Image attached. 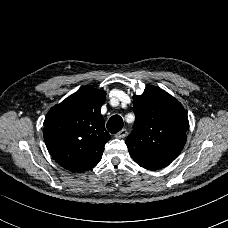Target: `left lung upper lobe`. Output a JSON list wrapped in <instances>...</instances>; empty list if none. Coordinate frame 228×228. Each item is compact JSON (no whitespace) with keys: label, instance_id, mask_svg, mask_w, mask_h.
I'll return each instance as SVG.
<instances>
[{"label":"left lung upper lobe","instance_id":"1","mask_svg":"<svg viewBox=\"0 0 228 228\" xmlns=\"http://www.w3.org/2000/svg\"><path fill=\"white\" fill-rule=\"evenodd\" d=\"M135 123L127 137L130 156L141 167H166L182 151L189 121L179 101L167 92L149 86L133 96Z\"/></svg>","mask_w":228,"mask_h":228}]
</instances>
